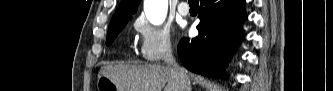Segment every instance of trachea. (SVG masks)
Masks as SVG:
<instances>
[{
	"instance_id": "trachea-1",
	"label": "trachea",
	"mask_w": 333,
	"mask_h": 91,
	"mask_svg": "<svg viewBox=\"0 0 333 91\" xmlns=\"http://www.w3.org/2000/svg\"><path fill=\"white\" fill-rule=\"evenodd\" d=\"M189 3H198L197 0H189Z\"/></svg>"
}]
</instances>
